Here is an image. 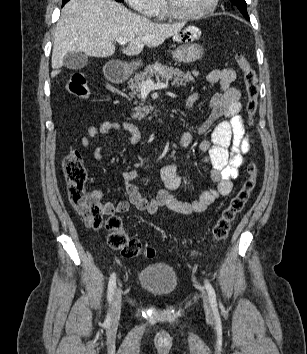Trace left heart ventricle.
<instances>
[{"instance_id":"b2bd125f","label":"left heart ventricle","mask_w":307,"mask_h":354,"mask_svg":"<svg viewBox=\"0 0 307 354\" xmlns=\"http://www.w3.org/2000/svg\"><path fill=\"white\" fill-rule=\"evenodd\" d=\"M174 8L185 14H194L203 11L211 0H170Z\"/></svg>"}]
</instances>
